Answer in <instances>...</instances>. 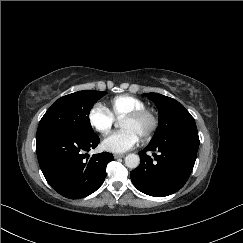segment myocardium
I'll return each mask as SVG.
<instances>
[{
  "mask_svg": "<svg viewBox=\"0 0 243 243\" xmlns=\"http://www.w3.org/2000/svg\"><path fill=\"white\" fill-rule=\"evenodd\" d=\"M123 119H128V120H133V121H138V120H142V119L149 120V122H150L149 129H148L147 133L141 138V140L143 142L149 141L152 138V136L155 134V132L159 126V120H158L157 116L153 112H151L147 109L137 110L132 113H129V114L125 115L123 117Z\"/></svg>",
  "mask_w": 243,
  "mask_h": 243,
  "instance_id": "1",
  "label": "myocardium"
}]
</instances>
